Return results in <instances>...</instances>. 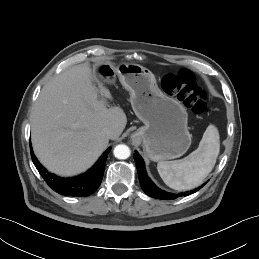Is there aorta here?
Returning a JSON list of instances; mask_svg holds the SVG:
<instances>
[{
  "instance_id": "762f6f07",
  "label": "aorta",
  "mask_w": 259,
  "mask_h": 259,
  "mask_svg": "<svg viewBox=\"0 0 259 259\" xmlns=\"http://www.w3.org/2000/svg\"><path fill=\"white\" fill-rule=\"evenodd\" d=\"M113 154L117 159H127L130 156V148L124 144L117 145Z\"/></svg>"
}]
</instances>
